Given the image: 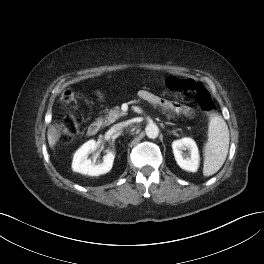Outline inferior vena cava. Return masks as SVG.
<instances>
[{
	"label": "inferior vena cava",
	"mask_w": 264,
	"mask_h": 264,
	"mask_svg": "<svg viewBox=\"0 0 264 264\" xmlns=\"http://www.w3.org/2000/svg\"><path fill=\"white\" fill-rule=\"evenodd\" d=\"M125 123H119V124H116L114 125L112 128H111V131L112 132H118L120 131L121 129H123Z\"/></svg>",
	"instance_id": "1"
}]
</instances>
